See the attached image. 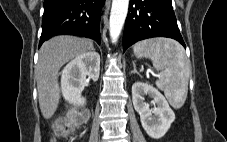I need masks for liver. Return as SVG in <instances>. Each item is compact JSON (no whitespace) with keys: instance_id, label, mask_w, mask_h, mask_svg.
<instances>
[{"instance_id":"liver-1","label":"liver","mask_w":227,"mask_h":142,"mask_svg":"<svg viewBox=\"0 0 227 142\" xmlns=\"http://www.w3.org/2000/svg\"><path fill=\"white\" fill-rule=\"evenodd\" d=\"M93 41L75 36H56L44 42L35 68L39 107L45 119H50L59 104L58 83L61 67L77 56L93 50Z\"/></svg>"}]
</instances>
